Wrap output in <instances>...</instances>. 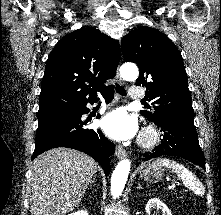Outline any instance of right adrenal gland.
Returning <instances> with one entry per match:
<instances>
[{"mask_svg": "<svg viewBox=\"0 0 221 215\" xmlns=\"http://www.w3.org/2000/svg\"><path fill=\"white\" fill-rule=\"evenodd\" d=\"M95 182H96V176H94L93 179L89 182V185L92 186V184Z\"/></svg>", "mask_w": 221, "mask_h": 215, "instance_id": "2a0ac1e0", "label": "right adrenal gland"}]
</instances>
